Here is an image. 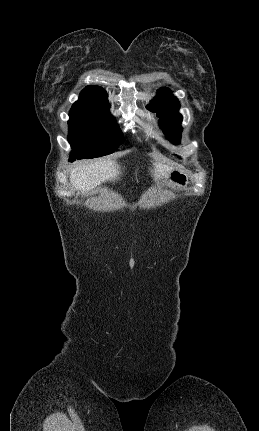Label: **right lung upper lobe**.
<instances>
[{"instance_id": "cb5924a9", "label": "right lung upper lobe", "mask_w": 259, "mask_h": 431, "mask_svg": "<svg viewBox=\"0 0 259 431\" xmlns=\"http://www.w3.org/2000/svg\"><path fill=\"white\" fill-rule=\"evenodd\" d=\"M105 100H107V93L103 88L89 85L80 93V97L77 102L98 103Z\"/></svg>"}]
</instances>
